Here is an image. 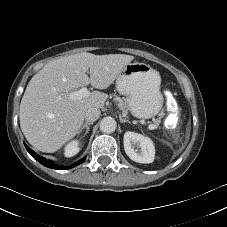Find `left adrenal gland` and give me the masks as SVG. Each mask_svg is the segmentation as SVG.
<instances>
[{"label":"left adrenal gland","mask_w":227,"mask_h":227,"mask_svg":"<svg viewBox=\"0 0 227 227\" xmlns=\"http://www.w3.org/2000/svg\"><path fill=\"white\" fill-rule=\"evenodd\" d=\"M121 123H130L129 120L123 119L122 116H119Z\"/></svg>","instance_id":"a2214340"}]
</instances>
